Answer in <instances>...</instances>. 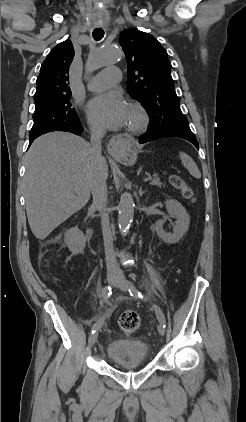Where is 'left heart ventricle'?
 I'll list each match as a JSON object with an SVG mask.
<instances>
[{
  "instance_id": "1",
  "label": "left heart ventricle",
  "mask_w": 246,
  "mask_h": 422,
  "mask_svg": "<svg viewBox=\"0 0 246 422\" xmlns=\"http://www.w3.org/2000/svg\"><path fill=\"white\" fill-rule=\"evenodd\" d=\"M133 120H134V116H133L132 112L129 110V117H128L127 124H130Z\"/></svg>"
}]
</instances>
